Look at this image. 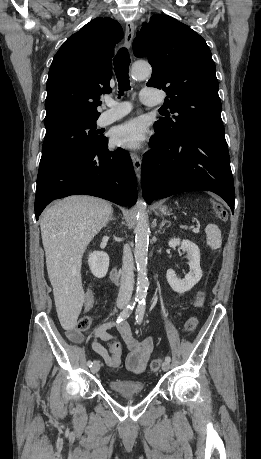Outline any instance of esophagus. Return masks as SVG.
<instances>
[{
    "label": "esophagus",
    "mask_w": 261,
    "mask_h": 459,
    "mask_svg": "<svg viewBox=\"0 0 261 459\" xmlns=\"http://www.w3.org/2000/svg\"><path fill=\"white\" fill-rule=\"evenodd\" d=\"M134 29H135L134 23L133 22H127L126 28H125V37H124V44H125V47L127 49H130V47H131V44H132V41H133V37H134ZM131 158H132V162H133V166H134V170H135L136 176H137L138 179H140L141 164H142L141 158L135 153L131 154Z\"/></svg>",
    "instance_id": "34e87169"
}]
</instances>
